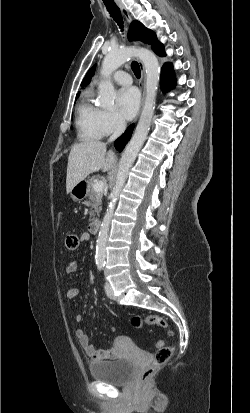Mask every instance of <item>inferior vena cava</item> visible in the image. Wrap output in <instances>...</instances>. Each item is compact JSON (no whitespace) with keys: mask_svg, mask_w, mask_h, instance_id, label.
<instances>
[{"mask_svg":"<svg viewBox=\"0 0 250 413\" xmlns=\"http://www.w3.org/2000/svg\"><path fill=\"white\" fill-rule=\"evenodd\" d=\"M126 123L123 118H119L116 123V127L112 136L109 138V142L115 141L125 130Z\"/></svg>","mask_w":250,"mask_h":413,"instance_id":"inferior-vena-cava-1","label":"inferior vena cava"}]
</instances>
